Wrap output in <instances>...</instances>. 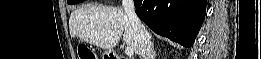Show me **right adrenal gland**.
<instances>
[{
    "mask_svg": "<svg viewBox=\"0 0 261 59\" xmlns=\"http://www.w3.org/2000/svg\"><path fill=\"white\" fill-rule=\"evenodd\" d=\"M151 50H152L151 59H155V57H156V51L154 50V45H153V43H152V45H151Z\"/></svg>",
    "mask_w": 261,
    "mask_h": 59,
    "instance_id": "2a0ac1e0",
    "label": "right adrenal gland"
}]
</instances>
